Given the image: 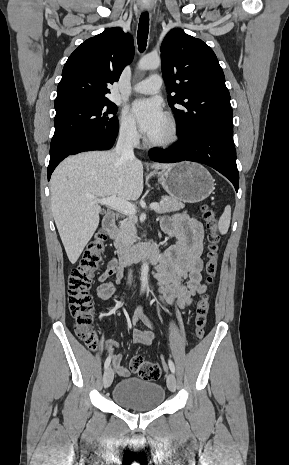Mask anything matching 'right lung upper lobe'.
I'll use <instances>...</instances> for the list:
<instances>
[{"instance_id":"right-lung-upper-lobe-1","label":"right lung upper lobe","mask_w":289,"mask_h":465,"mask_svg":"<svg viewBox=\"0 0 289 465\" xmlns=\"http://www.w3.org/2000/svg\"><path fill=\"white\" fill-rule=\"evenodd\" d=\"M133 57V38L119 28H108L87 39L64 65L55 105L108 99L107 86L119 80Z\"/></svg>"}]
</instances>
